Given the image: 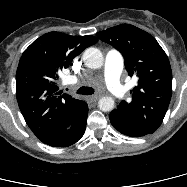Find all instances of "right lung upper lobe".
<instances>
[{
  "label": "right lung upper lobe",
  "instance_id": "1",
  "mask_svg": "<svg viewBox=\"0 0 187 187\" xmlns=\"http://www.w3.org/2000/svg\"><path fill=\"white\" fill-rule=\"evenodd\" d=\"M98 39L49 32L22 54L16 73V96L21 113L37 138L47 142L66 129L86 104L58 91V72L66 69Z\"/></svg>",
  "mask_w": 187,
  "mask_h": 187
}]
</instances>
